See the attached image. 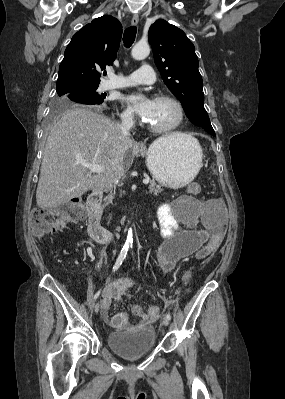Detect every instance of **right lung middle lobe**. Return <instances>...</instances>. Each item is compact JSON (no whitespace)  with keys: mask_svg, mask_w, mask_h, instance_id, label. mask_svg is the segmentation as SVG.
Here are the masks:
<instances>
[{"mask_svg":"<svg viewBox=\"0 0 285 399\" xmlns=\"http://www.w3.org/2000/svg\"><path fill=\"white\" fill-rule=\"evenodd\" d=\"M97 88L90 89H64L57 91V97L54 102L53 116L57 115L59 112L75 108L82 105L89 106H104L105 96L97 92Z\"/></svg>","mask_w":285,"mask_h":399,"instance_id":"1","label":"right lung middle lobe"}]
</instances>
